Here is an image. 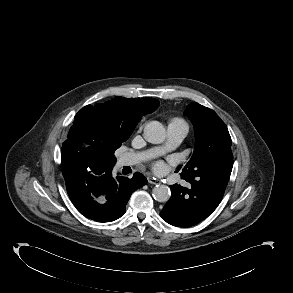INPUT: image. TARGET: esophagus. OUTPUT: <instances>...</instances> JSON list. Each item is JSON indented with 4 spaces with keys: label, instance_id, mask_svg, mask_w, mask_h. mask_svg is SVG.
Returning a JSON list of instances; mask_svg holds the SVG:
<instances>
[{
    "label": "esophagus",
    "instance_id": "obj_1",
    "mask_svg": "<svg viewBox=\"0 0 293 293\" xmlns=\"http://www.w3.org/2000/svg\"><path fill=\"white\" fill-rule=\"evenodd\" d=\"M148 182H149L150 184H154V185H156V184H160V183H161V180H159V179H157V178H155V177H151V176H149V177H148Z\"/></svg>",
    "mask_w": 293,
    "mask_h": 293
}]
</instances>
